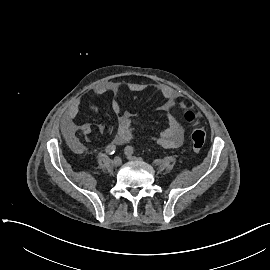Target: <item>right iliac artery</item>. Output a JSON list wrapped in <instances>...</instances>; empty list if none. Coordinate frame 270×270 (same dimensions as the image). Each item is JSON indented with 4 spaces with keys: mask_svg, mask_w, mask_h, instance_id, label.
<instances>
[{
    "mask_svg": "<svg viewBox=\"0 0 270 270\" xmlns=\"http://www.w3.org/2000/svg\"><path fill=\"white\" fill-rule=\"evenodd\" d=\"M115 151H116V146L114 144H110L106 147V153L109 155L114 154Z\"/></svg>",
    "mask_w": 270,
    "mask_h": 270,
    "instance_id": "obj_1",
    "label": "right iliac artery"
}]
</instances>
